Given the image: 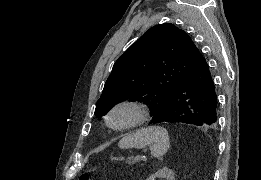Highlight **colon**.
Masks as SVG:
<instances>
[{
    "label": "colon",
    "mask_w": 261,
    "mask_h": 180,
    "mask_svg": "<svg viewBox=\"0 0 261 180\" xmlns=\"http://www.w3.org/2000/svg\"><path fill=\"white\" fill-rule=\"evenodd\" d=\"M80 180H90V175L87 173L81 174Z\"/></svg>",
    "instance_id": "1"
}]
</instances>
